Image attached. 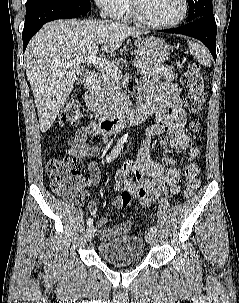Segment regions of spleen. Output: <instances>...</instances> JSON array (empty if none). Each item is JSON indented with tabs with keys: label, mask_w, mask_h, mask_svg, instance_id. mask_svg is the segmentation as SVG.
<instances>
[{
	"label": "spleen",
	"mask_w": 239,
	"mask_h": 303,
	"mask_svg": "<svg viewBox=\"0 0 239 303\" xmlns=\"http://www.w3.org/2000/svg\"><path fill=\"white\" fill-rule=\"evenodd\" d=\"M188 46L191 54L196 57L201 65L211 67L210 54L205 47L194 41H188Z\"/></svg>",
	"instance_id": "obj_1"
}]
</instances>
